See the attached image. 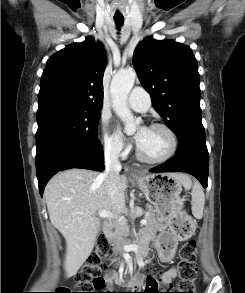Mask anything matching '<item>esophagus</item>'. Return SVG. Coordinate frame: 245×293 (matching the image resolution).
Returning a JSON list of instances; mask_svg holds the SVG:
<instances>
[{
  "mask_svg": "<svg viewBox=\"0 0 245 293\" xmlns=\"http://www.w3.org/2000/svg\"><path fill=\"white\" fill-rule=\"evenodd\" d=\"M130 174H131L132 176H137V175H138V172H137L136 170H131V171H130Z\"/></svg>",
  "mask_w": 245,
  "mask_h": 293,
  "instance_id": "1",
  "label": "esophagus"
}]
</instances>
